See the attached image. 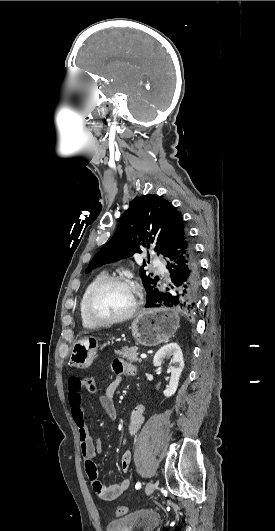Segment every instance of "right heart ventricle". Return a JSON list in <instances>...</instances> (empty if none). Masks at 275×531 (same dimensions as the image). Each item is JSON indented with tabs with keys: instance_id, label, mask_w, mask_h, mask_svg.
Segmentation results:
<instances>
[{
	"instance_id": "right-heart-ventricle-1",
	"label": "right heart ventricle",
	"mask_w": 275,
	"mask_h": 531,
	"mask_svg": "<svg viewBox=\"0 0 275 531\" xmlns=\"http://www.w3.org/2000/svg\"><path fill=\"white\" fill-rule=\"evenodd\" d=\"M103 277H105V274H100L98 275L85 289L81 299H80V302H79V312H80V317H81V321H82V324L84 327L86 328H89V329H94V328H97L98 325L90 322L89 320H87L83 314V303H84V300H85V297L86 295L88 294V292L90 291V289L98 282L100 281Z\"/></svg>"
}]
</instances>
